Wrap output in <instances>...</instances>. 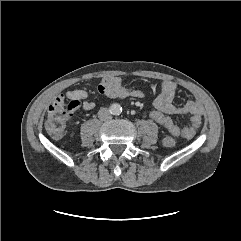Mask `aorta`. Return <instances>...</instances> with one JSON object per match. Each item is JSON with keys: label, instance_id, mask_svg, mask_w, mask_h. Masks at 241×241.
Returning a JSON list of instances; mask_svg holds the SVG:
<instances>
[{"label": "aorta", "instance_id": "obj_1", "mask_svg": "<svg viewBox=\"0 0 241 241\" xmlns=\"http://www.w3.org/2000/svg\"><path fill=\"white\" fill-rule=\"evenodd\" d=\"M121 110H122V108L119 104H114L113 107H112V112L115 115H118L121 112Z\"/></svg>", "mask_w": 241, "mask_h": 241}]
</instances>
